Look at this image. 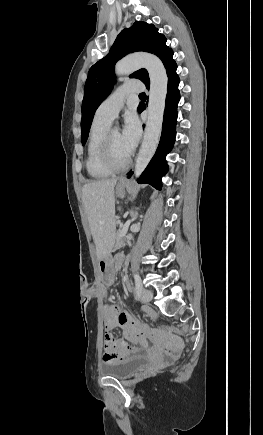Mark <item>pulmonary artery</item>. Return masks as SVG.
I'll return each instance as SVG.
<instances>
[{"label":"pulmonary artery","mask_w":263,"mask_h":435,"mask_svg":"<svg viewBox=\"0 0 263 435\" xmlns=\"http://www.w3.org/2000/svg\"><path fill=\"white\" fill-rule=\"evenodd\" d=\"M144 90L141 81L131 80L119 86L106 100L98 107L95 117L112 122L124 105L125 97L128 94L140 93Z\"/></svg>","instance_id":"e3ab8cb5"}]
</instances>
